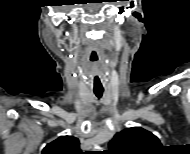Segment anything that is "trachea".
Segmentation results:
<instances>
[{
	"mask_svg": "<svg viewBox=\"0 0 190 154\" xmlns=\"http://www.w3.org/2000/svg\"><path fill=\"white\" fill-rule=\"evenodd\" d=\"M94 94L96 95L97 98H101L103 91L102 90H94Z\"/></svg>",
	"mask_w": 190,
	"mask_h": 154,
	"instance_id": "trachea-1",
	"label": "trachea"
}]
</instances>
